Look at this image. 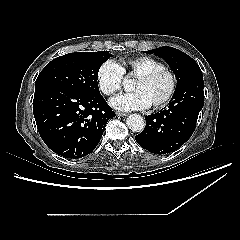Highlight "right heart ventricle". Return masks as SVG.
<instances>
[{"mask_svg": "<svg viewBox=\"0 0 240 240\" xmlns=\"http://www.w3.org/2000/svg\"><path fill=\"white\" fill-rule=\"evenodd\" d=\"M119 65L123 72L134 75L159 67L154 60L148 57L122 58L119 60Z\"/></svg>", "mask_w": 240, "mask_h": 240, "instance_id": "obj_1", "label": "right heart ventricle"}]
</instances>
